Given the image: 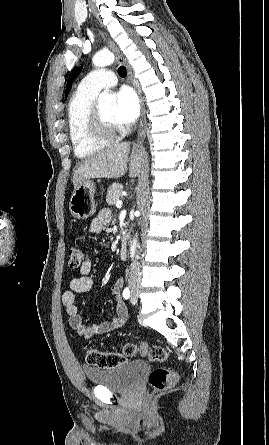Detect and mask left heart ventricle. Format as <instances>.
I'll use <instances>...</instances> for the list:
<instances>
[{
  "label": "left heart ventricle",
  "instance_id": "obj_1",
  "mask_svg": "<svg viewBox=\"0 0 269 445\" xmlns=\"http://www.w3.org/2000/svg\"><path fill=\"white\" fill-rule=\"evenodd\" d=\"M99 111H100L101 115L107 121L115 123V121H114V106L113 105L100 107Z\"/></svg>",
  "mask_w": 269,
  "mask_h": 445
}]
</instances>
